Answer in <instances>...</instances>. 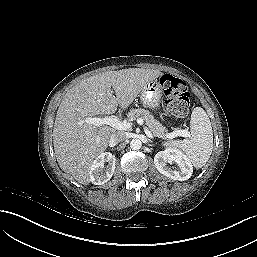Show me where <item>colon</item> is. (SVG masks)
Masks as SVG:
<instances>
[{
  "label": "colon",
  "mask_w": 257,
  "mask_h": 257,
  "mask_svg": "<svg viewBox=\"0 0 257 257\" xmlns=\"http://www.w3.org/2000/svg\"><path fill=\"white\" fill-rule=\"evenodd\" d=\"M160 87L171 113L177 118H186L190 106V93L184 81L170 74H164L160 78Z\"/></svg>",
  "instance_id": "1"
}]
</instances>
